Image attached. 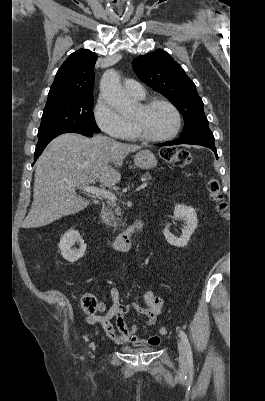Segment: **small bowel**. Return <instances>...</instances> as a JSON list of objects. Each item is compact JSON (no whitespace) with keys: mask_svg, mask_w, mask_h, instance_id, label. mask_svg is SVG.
<instances>
[{"mask_svg":"<svg viewBox=\"0 0 265 401\" xmlns=\"http://www.w3.org/2000/svg\"><path fill=\"white\" fill-rule=\"evenodd\" d=\"M110 297L112 300L111 307L106 311L104 304H101L100 314L88 318L89 323H99L106 337L110 342L116 345H133L135 347H154L160 343L158 335L150 336L142 339L136 335L137 326L132 325L130 328L126 325L124 316L135 311L147 319V324L153 326L156 323L158 315L163 310V301L154 295L152 291H146L143 295L144 305L138 303L122 304L120 303L119 291L116 287L110 288ZM116 319V326L120 333H116L112 324V319Z\"/></svg>","mask_w":265,"mask_h":401,"instance_id":"c3829d8e","label":"small bowel"}]
</instances>
